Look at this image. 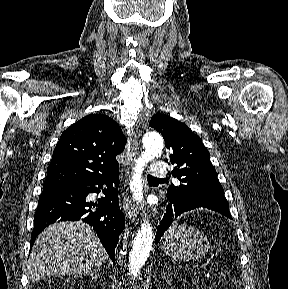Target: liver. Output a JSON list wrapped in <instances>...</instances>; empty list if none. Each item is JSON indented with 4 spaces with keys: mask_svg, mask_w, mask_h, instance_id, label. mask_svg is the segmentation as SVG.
Listing matches in <instances>:
<instances>
[{
    "mask_svg": "<svg viewBox=\"0 0 288 289\" xmlns=\"http://www.w3.org/2000/svg\"><path fill=\"white\" fill-rule=\"evenodd\" d=\"M107 254L92 228L81 221L54 223L37 237L28 261V278L92 274Z\"/></svg>",
    "mask_w": 288,
    "mask_h": 289,
    "instance_id": "6515ba94",
    "label": "liver"
}]
</instances>
